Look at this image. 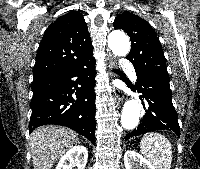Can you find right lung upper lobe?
<instances>
[{
	"mask_svg": "<svg viewBox=\"0 0 200 169\" xmlns=\"http://www.w3.org/2000/svg\"><path fill=\"white\" fill-rule=\"evenodd\" d=\"M93 55L83 15L71 11L45 31L36 55L33 81L69 71Z\"/></svg>",
	"mask_w": 200,
	"mask_h": 169,
	"instance_id": "cb5924a9",
	"label": "right lung upper lobe"
}]
</instances>
